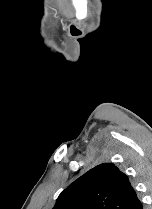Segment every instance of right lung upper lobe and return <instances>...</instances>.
Returning a JSON list of instances; mask_svg holds the SVG:
<instances>
[{
  "instance_id": "obj_1",
  "label": "right lung upper lobe",
  "mask_w": 152,
  "mask_h": 209,
  "mask_svg": "<svg viewBox=\"0 0 152 209\" xmlns=\"http://www.w3.org/2000/svg\"><path fill=\"white\" fill-rule=\"evenodd\" d=\"M137 195L113 163L86 172L59 195L53 209H128Z\"/></svg>"
}]
</instances>
